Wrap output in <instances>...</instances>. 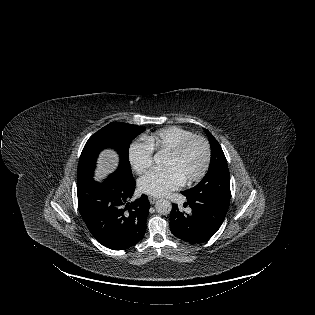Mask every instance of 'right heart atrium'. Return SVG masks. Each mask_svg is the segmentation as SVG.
<instances>
[{
	"instance_id": "obj_1",
	"label": "right heart atrium",
	"mask_w": 315,
	"mask_h": 315,
	"mask_svg": "<svg viewBox=\"0 0 315 315\" xmlns=\"http://www.w3.org/2000/svg\"><path fill=\"white\" fill-rule=\"evenodd\" d=\"M129 162L137 174L145 173L153 163V146L147 139L133 142L129 147Z\"/></svg>"
}]
</instances>
